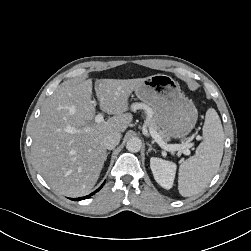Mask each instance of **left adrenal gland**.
Segmentation results:
<instances>
[{
  "label": "left adrenal gland",
  "mask_w": 251,
  "mask_h": 251,
  "mask_svg": "<svg viewBox=\"0 0 251 251\" xmlns=\"http://www.w3.org/2000/svg\"><path fill=\"white\" fill-rule=\"evenodd\" d=\"M148 146H149L148 153L152 150L156 152V149L153 148L151 144L148 143Z\"/></svg>",
  "instance_id": "a2214340"
}]
</instances>
